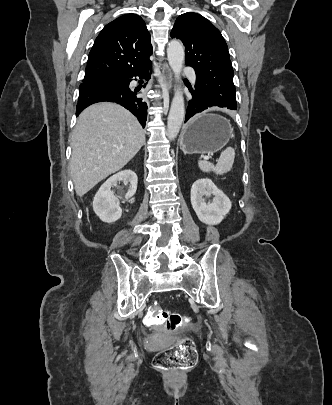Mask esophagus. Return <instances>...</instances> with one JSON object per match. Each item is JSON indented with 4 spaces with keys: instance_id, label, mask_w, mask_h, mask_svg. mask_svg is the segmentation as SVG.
Here are the masks:
<instances>
[{
    "instance_id": "esophagus-1",
    "label": "esophagus",
    "mask_w": 332,
    "mask_h": 405,
    "mask_svg": "<svg viewBox=\"0 0 332 405\" xmlns=\"http://www.w3.org/2000/svg\"><path fill=\"white\" fill-rule=\"evenodd\" d=\"M163 76H164L166 85H167L168 89L170 90L172 87V72L167 65L163 69Z\"/></svg>"
}]
</instances>
